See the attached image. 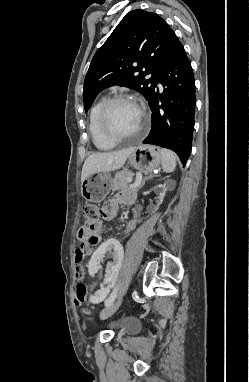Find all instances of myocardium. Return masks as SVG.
Returning <instances> with one entry per match:
<instances>
[{
    "label": "myocardium",
    "instance_id": "1",
    "mask_svg": "<svg viewBox=\"0 0 249 382\" xmlns=\"http://www.w3.org/2000/svg\"><path fill=\"white\" fill-rule=\"evenodd\" d=\"M120 102H132L140 110L141 120H140L137 131L133 134L124 135V136L118 135V134L114 133L109 126V123H108L109 111L113 105L120 103ZM147 123H148V116H147L145 110L143 108H141L132 98H130L128 96H124V95H117V96H114V97L106 100L105 103L103 104V106L100 110V114H99V125H100V129H101L103 135L107 139H109L110 141L115 142V143L130 140V139H133V138L139 136L143 132V130L147 127Z\"/></svg>",
    "mask_w": 249,
    "mask_h": 382
}]
</instances>
